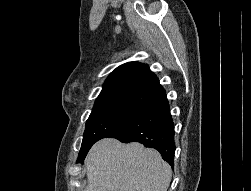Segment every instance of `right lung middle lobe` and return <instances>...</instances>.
Returning <instances> with one entry per match:
<instances>
[{"mask_svg":"<svg viewBox=\"0 0 251 191\" xmlns=\"http://www.w3.org/2000/svg\"><path fill=\"white\" fill-rule=\"evenodd\" d=\"M142 109L125 105L94 107L87 122L77 163H83L91 146L116 131Z\"/></svg>","mask_w":251,"mask_h":191,"instance_id":"obj_1","label":"right lung middle lobe"}]
</instances>
